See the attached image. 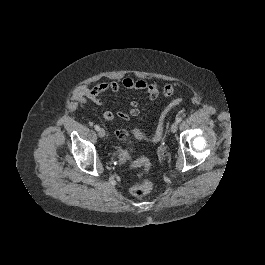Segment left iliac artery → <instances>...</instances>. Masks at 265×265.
I'll return each instance as SVG.
<instances>
[{"instance_id": "left-iliac-artery-1", "label": "left iliac artery", "mask_w": 265, "mask_h": 265, "mask_svg": "<svg viewBox=\"0 0 265 265\" xmlns=\"http://www.w3.org/2000/svg\"><path fill=\"white\" fill-rule=\"evenodd\" d=\"M181 121H182V117L179 116V117L176 118V122L177 123H180Z\"/></svg>"}]
</instances>
